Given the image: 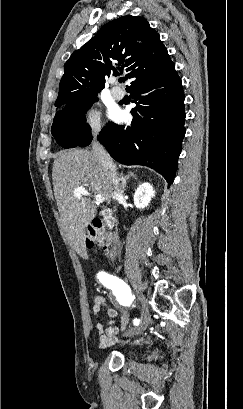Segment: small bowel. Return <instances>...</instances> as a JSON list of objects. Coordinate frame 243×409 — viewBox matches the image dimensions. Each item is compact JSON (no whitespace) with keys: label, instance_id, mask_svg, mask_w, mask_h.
<instances>
[{"label":"small bowel","instance_id":"c3829d8e","mask_svg":"<svg viewBox=\"0 0 243 409\" xmlns=\"http://www.w3.org/2000/svg\"><path fill=\"white\" fill-rule=\"evenodd\" d=\"M92 309L96 316H99L103 310H106L107 315L110 318L107 324H97L99 347L101 349H105L118 343L119 338L117 335L120 331L124 330L128 324V314L126 312L119 313L111 304L108 303L106 298L101 295H96L93 298ZM117 317L120 318V326L116 321ZM141 341L142 340H136V342Z\"/></svg>","mask_w":243,"mask_h":409}]
</instances>
